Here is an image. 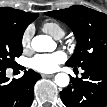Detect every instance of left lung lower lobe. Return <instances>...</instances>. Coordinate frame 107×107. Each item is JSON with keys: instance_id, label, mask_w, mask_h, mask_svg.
I'll return each instance as SVG.
<instances>
[{"instance_id": "left-lung-lower-lobe-1", "label": "left lung lower lobe", "mask_w": 107, "mask_h": 107, "mask_svg": "<svg viewBox=\"0 0 107 107\" xmlns=\"http://www.w3.org/2000/svg\"><path fill=\"white\" fill-rule=\"evenodd\" d=\"M82 77L60 92L67 107L107 106V62H96L81 67ZM76 69V68H74Z\"/></svg>"}]
</instances>
